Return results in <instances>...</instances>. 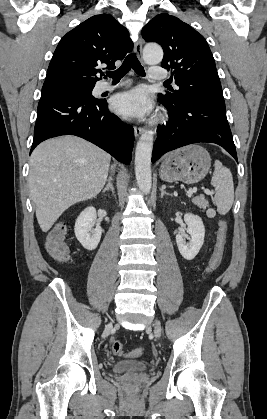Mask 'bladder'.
<instances>
[{"label":"bladder","mask_w":267,"mask_h":419,"mask_svg":"<svg viewBox=\"0 0 267 419\" xmlns=\"http://www.w3.org/2000/svg\"><path fill=\"white\" fill-rule=\"evenodd\" d=\"M148 369V364L139 360H124L115 363L112 366V371L115 373L122 372H142Z\"/></svg>","instance_id":"1"}]
</instances>
